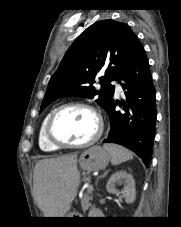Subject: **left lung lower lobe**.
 <instances>
[{
    "mask_svg": "<svg viewBox=\"0 0 181 227\" xmlns=\"http://www.w3.org/2000/svg\"><path fill=\"white\" fill-rule=\"evenodd\" d=\"M118 82L125 90L126 100L119 103L124 112L115 111L117 101H113L107 108L111 129L103 142L117 143L129 148L148 167L155 137L156 92L148 59L141 44L137 46Z\"/></svg>",
    "mask_w": 181,
    "mask_h": 227,
    "instance_id": "0a47b994",
    "label": "left lung lower lobe"
}]
</instances>
